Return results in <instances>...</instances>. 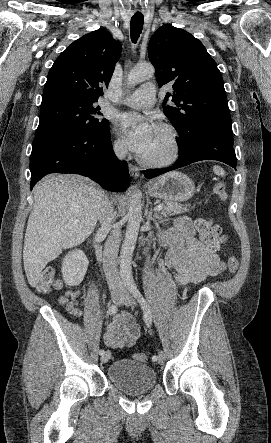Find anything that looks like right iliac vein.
<instances>
[{
    "instance_id": "1",
    "label": "right iliac vein",
    "mask_w": 271,
    "mask_h": 443,
    "mask_svg": "<svg viewBox=\"0 0 271 443\" xmlns=\"http://www.w3.org/2000/svg\"><path fill=\"white\" fill-rule=\"evenodd\" d=\"M112 302L114 304H119L121 303L122 299H123V295L121 294H113L111 296ZM111 358V352L110 351H106L103 355H101V362L102 363H107Z\"/></svg>"
}]
</instances>
